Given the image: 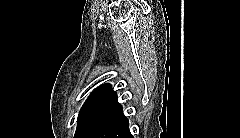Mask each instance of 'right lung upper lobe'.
Listing matches in <instances>:
<instances>
[{"mask_svg": "<svg viewBox=\"0 0 240 138\" xmlns=\"http://www.w3.org/2000/svg\"><path fill=\"white\" fill-rule=\"evenodd\" d=\"M120 110H122V106L117 102L116 92L113 91L110 84H102L90 94L79 115L103 114L110 116Z\"/></svg>", "mask_w": 240, "mask_h": 138, "instance_id": "obj_1", "label": "right lung upper lobe"}]
</instances>
